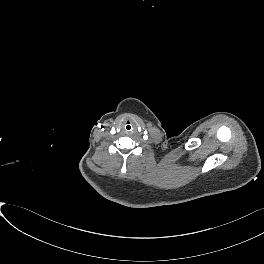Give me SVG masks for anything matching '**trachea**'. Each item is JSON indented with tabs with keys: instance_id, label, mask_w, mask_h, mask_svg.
<instances>
[{
	"instance_id": "3493384b",
	"label": "trachea",
	"mask_w": 264,
	"mask_h": 264,
	"mask_svg": "<svg viewBox=\"0 0 264 264\" xmlns=\"http://www.w3.org/2000/svg\"><path fill=\"white\" fill-rule=\"evenodd\" d=\"M133 130V124L131 122H125L123 124V131L126 132V133H129Z\"/></svg>"
}]
</instances>
